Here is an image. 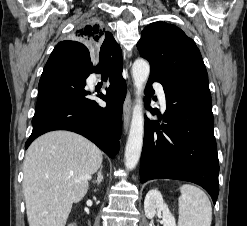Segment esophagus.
<instances>
[{"mask_svg": "<svg viewBox=\"0 0 247 226\" xmlns=\"http://www.w3.org/2000/svg\"><path fill=\"white\" fill-rule=\"evenodd\" d=\"M131 107L132 99L130 92L127 93L124 104H123V123H124V132L126 133L129 128L130 119H131Z\"/></svg>", "mask_w": 247, "mask_h": 226, "instance_id": "1", "label": "esophagus"}]
</instances>
